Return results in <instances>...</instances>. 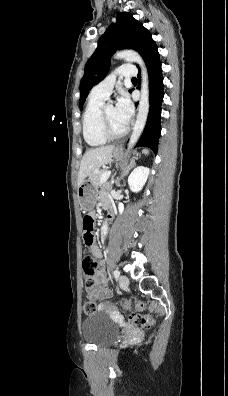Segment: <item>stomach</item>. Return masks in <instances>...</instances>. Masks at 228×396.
<instances>
[{"instance_id":"stomach-1","label":"stomach","mask_w":228,"mask_h":396,"mask_svg":"<svg viewBox=\"0 0 228 396\" xmlns=\"http://www.w3.org/2000/svg\"><path fill=\"white\" fill-rule=\"evenodd\" d=\"M114 157L118 158L121 155L119 149L113 151ZM77 197L80 207L84 211H91L95 207L97 201V187H95L89 180H84L77 188Z\"/></svg>"}]
</instances>
